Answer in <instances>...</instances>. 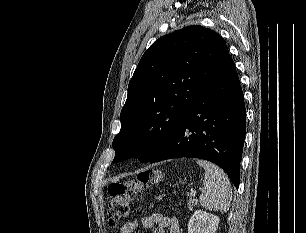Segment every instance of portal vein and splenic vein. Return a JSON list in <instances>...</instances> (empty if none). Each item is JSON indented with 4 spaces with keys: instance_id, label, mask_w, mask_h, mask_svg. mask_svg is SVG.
I'll return each instance as SVG.
<instances>
[{
    "instance_id": "portal-vein-and-splenic-vein-1",
    "label": "portal vein and splenic vein",
    "mask_w": 306,
    "mask_h": 233,
    "mask_svg": "<svg viewBox=\"0 0 306 233\" xmlns=\"http://www.w3.org/2000/svg\"><path fill=\"white\" fill-rule=\"evenodd\" d=\"M197 194V192L195 190H192L190 193V196H195Z\"/></svg>"
}]
</instances>
